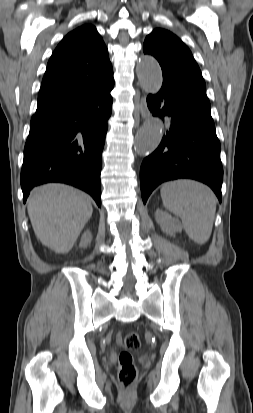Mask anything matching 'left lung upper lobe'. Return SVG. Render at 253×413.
Segmentation results:
<instances>
[{"instance_id": "left-lung-upper-lobe-1", "label": "left lung upper lobe", "mask_w": 253, "mask_h": 413, "mask_svg": "<svg viewBox=\"0 0 253 413\" xmlns=\"http://www.w3.org/2000/svg\"><path fill=\"white\" fill-rule=\"evenodd\" d=\"M143 51L158 60L163 80L189 84L206 92L205 81L191 51L170 31L153 30L145 39Z\"/></svg>"}]
</instances>
